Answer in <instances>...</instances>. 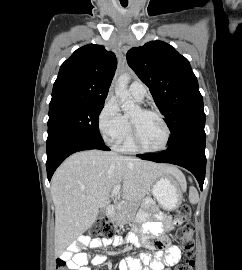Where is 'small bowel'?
<instances>
[{
	"label": "small bowel",
	"instance_id": "c3829d8e",
	"mask_svg": "<svg viewBox=\"0 0 242 270\" xmlns=\"http://www.w3.org/2000/svg\"><path fill=\"white\" fill-rule=\"evenodd\" d=\"M174 225L175 222L167 214L158 213L154 219L149 220L148 213L141 211L137 215L134 231L129 234L128 239L134 246L156 251L155 257L152 258L148 253H142L139 258L129 256L119 263V270H145L142 264L147 265L150 270H171L170 267L177 264L182 257L181 250L169 240ZM121 244L120 239L82 238L80 245L72 244L59 260L68 270H91L89 264L101 265L106 257L98 253L90 258L81 251L80 246L96 249Z\"/></svg>",
	"mask_w": 242,
	"mask_h": 270
}]
</instances>
